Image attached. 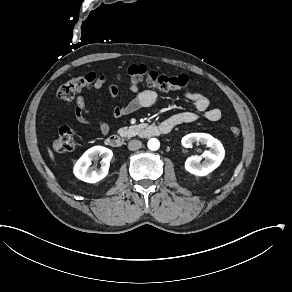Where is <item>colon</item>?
Returning a JSON list of instances; mask_svg holds the SVG:
<instances>
[{"instance_id":"5ec220e1","label":"colon","mask_w":292,"mask_h":292,"mask_svg":"<svg viewBox=\"0 0 292 292\" xmlns=\"http://www.w3.org/2000/svg\"><path fill=\"white\" fill-rule=\"evenodd\" d=\"M126 78L130 82L144 83L151 88L161 91L186 90L190 84V79L187 75L175 77L161 76L156 71L145 66H132L128 68ZM101 80H107V78L94 72L69 80L60 87L58 102L60 104H67L73 99L76 93L96 86ZM113 80L116 84H119L121 82V77L116 75L113 77ZM230 130L233 135L239 134V128L236 126H232ZM75 144V132L71 128L64 127L60 129L55 139L54 149L59 153L72 151L75 148Z\"/></svg>"}]
</instances>
